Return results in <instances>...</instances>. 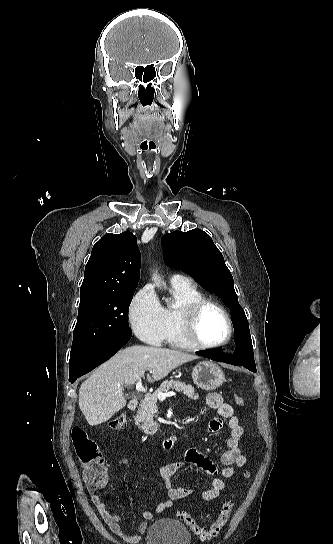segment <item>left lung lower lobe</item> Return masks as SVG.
<instances>
[{
  "mask_svg": "<svg viewBox=\"0 0 333 544\" xmlns=\"http://www.w3.org/2000/svg\"><path fill=\"white\" fill-rule=\"evenodd\" d=\"M246 351L243 348H237L235 353L233 355L225 354L222 349H216V350H203L198 351L196 354L216 360L219 362H225L233 365H239L243 366L247 369H249L252 372H256L255 362L253 360H248L244 358Z\"/></svg>",
  "mask_w": 333,
  "mask_h": 544,
  "instance_id": "1",
  "label": "left lung lower lobe"
}]
</instances>
